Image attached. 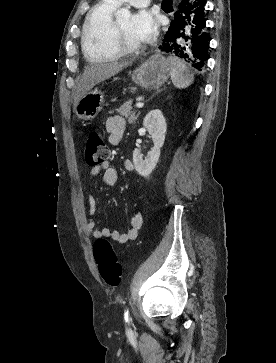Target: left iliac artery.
I'll return each instance as SVG.
<instances>
[{
  "mask_svg": "<svg viewBox=\"0 0 276 363\" xmlns=\"http://www.w3.org/2000/svg\"><path fill=\"white\" fill-rule=\"evenodd\" d=\"M125 320H126V321H128V320H129V312H128V311H126V312H125Z\"/></svg>",
  "mask_w": 276,
  "mask_h": 363,
  "instance_id": "44dca946",
  "label": "left iliac artery"
}]
</instances>
